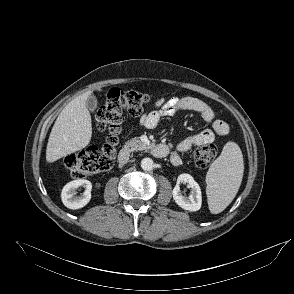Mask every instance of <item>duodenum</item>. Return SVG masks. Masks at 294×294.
<instances>
[{
  "mask_svg": "<svg viewBox=\"0 0 294 294\" xmlns=\"http://www.w3.org/2000/svg\"><path fill=\"white\" fill-rule=\"evenodd\" d=\"M169 147L166 144H155L151 147V153L157 158H163L167 156ZM118 161L120 164L125 165L129 161V151L121 150L118 155Z\"/></svg>",
  "mask_w": 294,
  "mask_h": 294,
  "instance_id": "duodenum-1",
  "label": "duodenum"
}]
</instances>
